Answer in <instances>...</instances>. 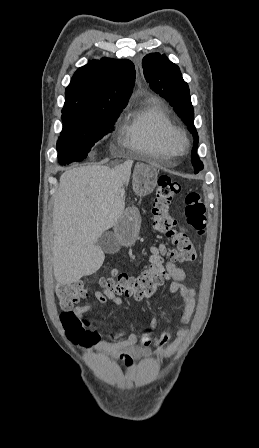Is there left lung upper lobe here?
Wrapping results in <instances>:
<instances>
[{
	"mask_svg": "<svg viewBox=\"0 0 259 448\" xmlns=\"http://www.w3.org/2000/svg\"><path fill=\"white\" fill-rule=\"evenodd\" d=\"M142 67L150 87L173 106L193 134L194 147L191 157L195 173H198L203 169V163L196 153L199 137L194 126V110L188 84L183 80L179 67L165 55L159 53L146 55L142 60Z\"/></svg>",
	"mask_w": 259,
	"mask_h": 448,
	"instance_id": "5c2ea615",
	"label": "left lung upper lobe"
}]
</instances>
